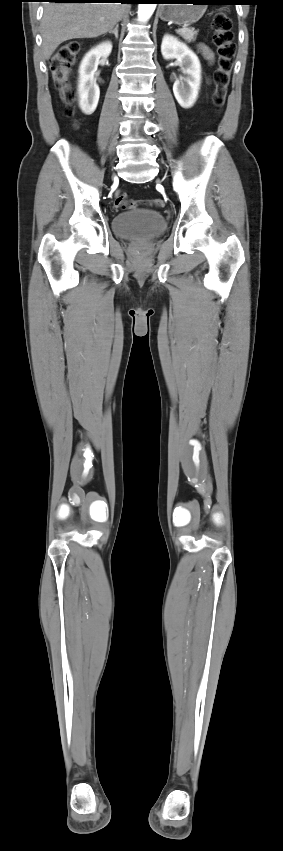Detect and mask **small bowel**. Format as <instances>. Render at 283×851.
<instances>
[{"label":"small bowel","instance_id":"obj_1","mask_svg":"<svg viewBox=\"0 0 283 851\" xmlns=\"http://www.w3.org/2000/svg\"><path fill=\"white\" fill-rule=\"evenodd\" d=\"M199 50H200V52H201L202 56H203V57H204V58H205V59H206L209 63L213 62L214 55H213L212 51L209 49V47H208V46H206V45H204V44H200V45H199Z\"/></svg>","mask_w":283,"mask_h":851}]
</instances>
